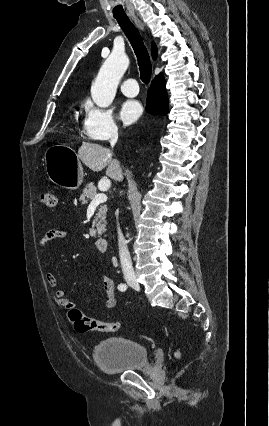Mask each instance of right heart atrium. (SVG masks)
Returning a JSON list of instances; mask_svg holds the SVG:
<instances>
[{"label": "right heart atrium", "instance_id": "right-heart-atrium-1", "mask_svg": "<svg viewBox=\"0 0 269 426\" xmlns=\"http://www.w3.org/2000/svg\"><path fill=\"white\" fill-rule=\"evenodd\" d=\"M82 133L88 139L104 141L118 136L120 129L109 109L98 107L87 100L84 103Z\"/></svg>", "mask_w": 269, "mask_h": 426}]
</instances>
